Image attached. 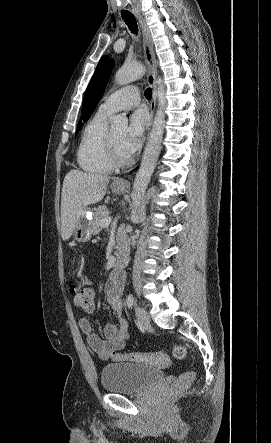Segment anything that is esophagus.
<instances>
[{"label": "esophagus", "mask_w": 271, "mask_h": 443, "mask_svg": "<svg viewBox=\"0 0 271 443\" xmlns=\"http://www.w3.org/2000/svg\"><path fill=\"white\" fill-rule=\"evenodd\" d=\"M137 18L139 20V24L142 30V36H143V48H144V55H145V61L149 67V73L147 75V82L152 87V101L150 106V124L153 120V115L156 107V101H157V85H156V78H157V63H156V55L154 53V46L151 38L150 31L141 17V15H137ZM114 183L129 186V182L122 179H114Z\"/></svg>", "instance_id": "34e87169"}]
</instances>
